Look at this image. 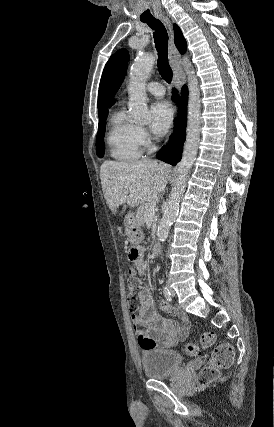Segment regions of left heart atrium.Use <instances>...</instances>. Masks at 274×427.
Returning <instances> with one entry per match:
<instances>
[{
    "label": "left heart atrium",
    "instance_id": "1",
    "mask_svg": "<svg viewBox=\"0 0 274 427\" xmlns=\"http://www.w3.org/2000/svg\"><path fill=\"white\" fill-rule=\"evenodd\" d=\"M152 121L150 124L151 132L156 136H163L167 133L173 111L167 101H158L151 108Z\"/></svg>",
    "mask_w": 274,
    "mask_h": 427
}]
</instances>
